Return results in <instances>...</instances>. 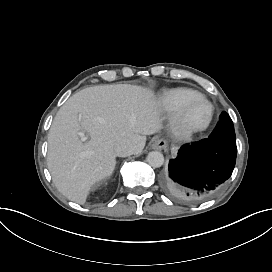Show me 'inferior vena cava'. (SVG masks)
<instances>
[{"mask_svg":"<svg viewBox=\"0 0 272 272\" xmlns=\"http://www.w3.org/2000/svg\"><path fill=\"white\" fill-rule=\"evenodd\" d=\"M115 155L118 157H127L136 152V146L128 139H123L114 147Z\"/></svg>","mask_w":272,"mask_h":272,"instance_id":"602c4592","label":"inferior vena cava"}]
</instances>
